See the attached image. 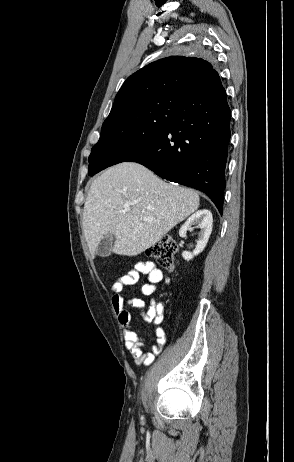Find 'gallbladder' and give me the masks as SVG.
Masks as SVG:
<instances>
[{
	"instance_id": "1",
	"label": "gallbladder",
	"mask_w": 294,
	"mask_h": 462,
	"mask_svg": "<svg viewBox=\"0 0 294 462\" xmlns=\"http://www.w3.org/2000/svg\"><path fill=\"white\" fill-rule=\"evenodd\" d=\"M114 240L115 235L110 233L105 234L97 246L96 255L100 257L109 256L113 248Z\"/></svg>"
}]
</instances>
